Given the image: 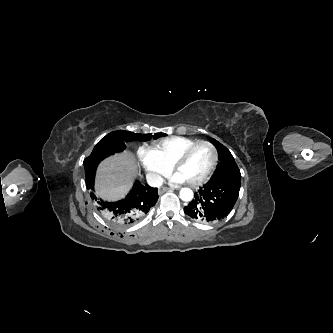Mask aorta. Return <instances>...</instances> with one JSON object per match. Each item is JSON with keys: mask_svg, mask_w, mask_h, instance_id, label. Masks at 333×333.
Listing matches in <instances>:
<instances>
[{"mask_svg": "<svg viewBox=\"0 0 333 333\" xmlns=\"http://www.w3.org/2000/svg\"><path fill=\"white\" fill-rule=\"evenodd\" d=\"M180 198L183 201H191L192 198H193V192H192V190L189 189V188H183V189H181V191H180Z\"/></svg>", "mask_w": 333, "mask_h": 333, "instance_id": "762f6f07", "label": "aorta"}]
</instances>
